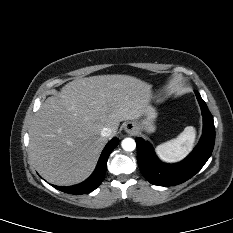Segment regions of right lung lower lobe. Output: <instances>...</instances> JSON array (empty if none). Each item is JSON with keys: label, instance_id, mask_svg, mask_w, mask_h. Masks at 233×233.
Segmentation results:
<instances>
[{"label": "right lung lower lobe", "instance_id": "right-lung-lower-lobe-1", "mask_svg": "<svg viewBox=\"0 0 233 233\" xmlns=\"http://www.w3.org/2000/svg\"><path fill=\"white\" fill-rule=\"evenodd\" d=\"M118 143L119 139L114 138L106 145L101 154L96 170L85 182L69 187L55 186V188L62 192L74 195L85 194L95 190L101 184L105 176L108 157Z\"/></svg>", "mask_w": 233, "mask_h": 233}]
</instances>
